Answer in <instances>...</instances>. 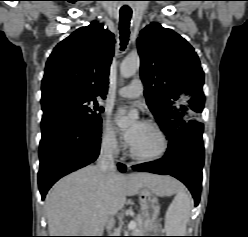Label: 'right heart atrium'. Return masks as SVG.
<instances>
[{"label":"right heart atrium","instance_id":"1","mask_svg":"<svg viewBox=\"0 0 248 237\" xmlns=\"http://www.w3.org/2000/svg\"><path fill=\"white\" fill-rule=\"evenodd\" d=\"M101 143L105 148L112 152H118L122 146L116 130L108 120H105L103 123Z\"/></svg>","mask_w":248,"mask_h":237}]
</instances>
